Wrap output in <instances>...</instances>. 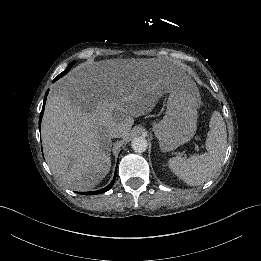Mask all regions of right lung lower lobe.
Instances as JSON below:
<instances>
[{
  "label": "right lung lower lobe",
  "instance_id": "obj_1",
  "mask_svg": "<svg viewBox=\"0 0 261 261\" xmlns=\"http://www.w3.org/2000/svg\"><path fill=\"white\" fill-rule=\"evenodd\" d=\"M48 92H49V90L46 92L45 97H44L43 107H42V111H41L40 118H39V126L41 125V120H42V116H43V112H44V108H45V103H46V98H47ZM116 175H117V167H116V170H115L114 179L111 181V183L107 187H105V188H103L101 190H98V191L80 192L79 194L96 195V194H101V193H104V192L110 190L111 187L113 186L114 182H115Z\"/></svg>",
  "mask_w": 261,
  "mask_h": 261
}]
</instances>
